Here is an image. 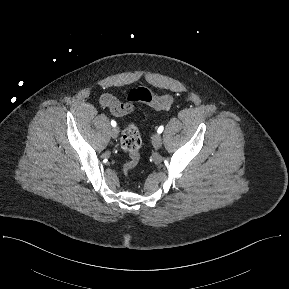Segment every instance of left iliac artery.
Listing matches in <instances>:
<instances>
[{"label":"left iliac artery","mask_w":289,"mask_h":289,"mask_svg":"<svg viewBox=\"0 0 289 289\" xmlns=\"http://www.w3.org/2000/svg\"><path fill=\"white\" fill-rule=\"evenodd\" d=\"M163 129H164V127L161 125V126L158 128L157 132L160 134V133H162Z\"/></svg>","instance_id":"left-iliac-artery-1"}]
</instances>
